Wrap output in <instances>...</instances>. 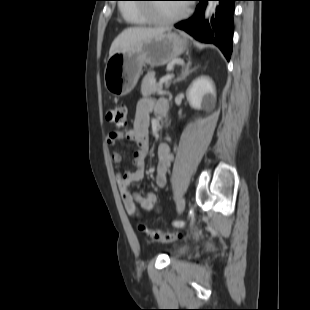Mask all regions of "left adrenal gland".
<instances>
[{
	"mask_svg": "<svg viewBox=\"0 0 310 310\" xmlns=\"http://www.w3.org/2000/svg\"><path fill=\"white\" fill-rule=\"evenodd\" d=\"M190 66L191 63L189 62L185 67L182 68L181 75L174 81V84L186 79L188 75H190L193 71L196 70V68L190 69Z\"/></svg>",
	"mask_w": 310,
	"mask_h": 310,
	"instance_id": "obj_1",
	"label": "left adrenal gland"
}]
</instances>
